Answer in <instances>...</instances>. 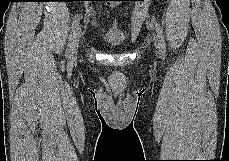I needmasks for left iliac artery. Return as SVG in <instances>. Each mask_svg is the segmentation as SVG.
Here are the masks:
<instances>
[{"mask_svg":"<svg viewBox=\"0 0 229 161\" xmlns=\"http://www.w3.org/2000/svg\"><path fill=\"white\" fill-rule=\"evenodd\" d=\"M155 28L157 32V37L159 39L161 55L164 56L165 55V40H164L163 31L159 23H156Z\"/></svg>","mask_w":229,"mask_h":161,"instance_id":"obj_1","label":"left iliac artery"}]
</instances>
